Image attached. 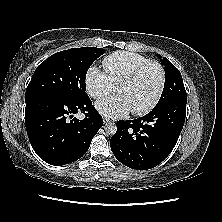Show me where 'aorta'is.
Masks as SVG:
<instances>
[{"label":"aorta","instance_id":"aorta-1","mask_svg":"<svg viewBox=\"0 0 222 222\" xmlns=\"http://www.w3.org/2000/svg\"><path fill=\"white\" fill-rule=\"evenodd\" d=\"M104 130L108 135H114L117 131V126L115 123H106Z\"/></svg>","mask_w":222,"mask_h":222}]
</instances>
